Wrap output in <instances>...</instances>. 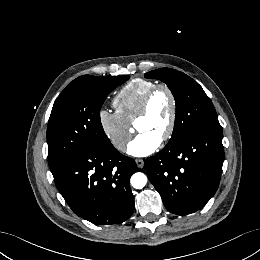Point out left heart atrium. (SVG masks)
Returning <instances> with one entry per match:
<instances>
[{
	"mask_svg": "<svg viewBox=\"0 0 260 260\" xmlns=\"http://www.w3.org/2000/svg\"><path fill=\"white\" fill-rule=\"evenodd\" d=\"M160 143L161 140L156 136L142 132L128 143L127 153L135 157H144L155 152Z\"/></svg>",
	"mask_w": 260,
	"mask_h": 260,
	"instance_id": "obj_1",
	"label": "left heart atrium"
}]
</instances>
